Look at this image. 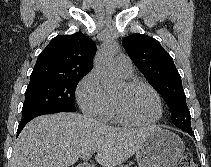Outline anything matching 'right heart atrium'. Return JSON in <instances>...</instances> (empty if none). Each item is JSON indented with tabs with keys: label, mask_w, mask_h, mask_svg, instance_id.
Wrapping results in <instances>:
<instances>
[{
	"label": "right heart atrium",
	"mask_w": 211,
	"mask_h": 167,
	"mask_svg": "<svg viewBox=\"0 0 211 167\" xmlns=\"http://www.w3.org/2000/svg\"><path fill=\"white\" fill-rule=\"evenodd\" d=\"M76 96L84 113L101 120H107L111 101L95 72H90L81 79L76 89Z\"/></svg>",
	"instance_id": "obj_1"
}]
</instances>
